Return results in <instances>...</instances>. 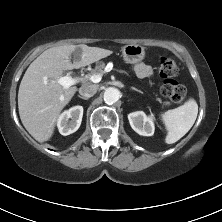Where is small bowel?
Listing matches in <instances>:
<instances>
[{
	"label": "small bowel",
	"instance_id": "obj_1",
	"mask_svg": "<svg viewBox=\"0 0 222 222\" xmlns=\"http://www.w3.org/2000/svg\"><path fill=\"white\" fill-rule=\"evenodd\" d=\"M134 72L137 76L141 78H146L153 74V69L151 66L145 63H139L134 67Z\"/></svg>",
	"mask_w": 222,
	"mask_h": 222
}]
</instances>
